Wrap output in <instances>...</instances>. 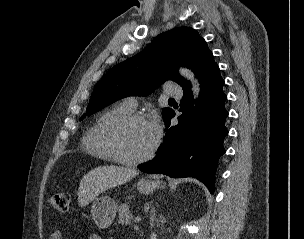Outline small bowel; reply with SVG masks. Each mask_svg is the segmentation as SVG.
<instances>
[{"label":"small bowel","instance_id":"1","mask_svg":"<svg viewBox=\"0 0 304 239\" xmlns=\"http://www.w3.org/2000/svg\"><path fill=\"white\" fill-rule=\"evenodd\" d=\"M64 233L61 229H55L50 234V239H63ZM89 239H101V237L97 234H92L89 236Z\"/></svg>","mask_w":304,"mask_h":239}]
</instances>
